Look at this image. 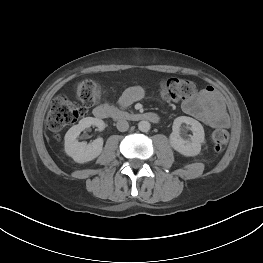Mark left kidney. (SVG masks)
Masks as SVG:
<instances>
[{"mask_svg": "<svg viewBox=\"0 0 263 263\" xmlns=\"http://www.w3.org/2000/svg\"><path fill=\"white\" fill-rule=\"evenodd\" d=\"M182 123L190 125V130L193 132L190 140L184 139L181 135ZM172 130L170 144L176 151L184 156H196L200 153L201 145L205 143L204 129L200 122L191 117L180 116L174 120Z\"/></svg>", "mask_w": 263, "mask_h": 263, "instance_id": "1", "label": "left kidney"}]
</instances>
